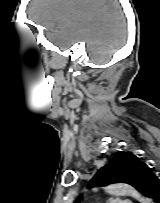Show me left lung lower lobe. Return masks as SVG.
Here are the masks:
<instances>
[{"label": "left lung lower lobe", "mask_w": 160, "mask_h": 203, "mask_svg": "<svg viewBox=\"0 0 160 203\" xmlns=\"http://www.w3.org/2000/svg\"><path fill=\"white\" fill-rule=\"evenodd\" d=\"M150 198L153 202L160 203V178L156 179V182L151 189Z\"/></svg>", "instance_id": "left-lung-lower-lobe-1"}]
</instances>
